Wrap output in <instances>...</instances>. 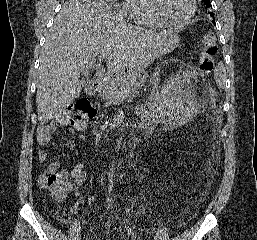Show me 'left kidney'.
<instances>
[{
    "instance_id": "left-kidney-1",
    "label": "left kidney",
    "mask_w": 257,
    "mask_h": 240,
    "mask_svg": "<svg viewBox=\"0 0 257 240\" xmlns=\"http://www.w3.org/2000/svg\"><path fill=\"white\" fill-rule=\"evenodd\" d=\"M181 108H183V103H182L181 99L180 98H175L174 100H172L168 103V109H169L168 110V115L180 116L179 112H180ZM186 116L187 115L183 116L184 117L183 121H186L190 118V116H187V117ZM181 117H182V115H181ZM181 121H182V119H181Z\"/></svg>"
}]
</instances>
